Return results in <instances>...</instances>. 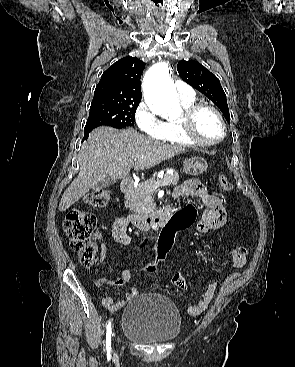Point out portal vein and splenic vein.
I'll return each mask as SVG.
<instances>
[{
  "label": "portal vein and splenic vein",
  "mask_w": 295,
  "mask_h": 367,
  "mask_svg": "<svg viewBox=\"0 0 295 367\" xmlns=\"http://www.w3.org/2000/svg\"><path fill=\"white\" fill-rule=\"evenodd\" d=\"M168 183H169V180L167 179V178H164L163 180H161V181H157V182H155L152 186H150L148 189L150 190V191H155L156 190V188H158V187H160V186H166V185H168Z\"/></svg>",
  "instance_id": "obj_1"
}]
</instances>
